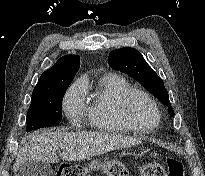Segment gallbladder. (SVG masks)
I'll list each match as a JSON object with an SVG mask.
<instances>
[{"mask_svg": "<svg viewBox=\"0 0 205 176\" xmlns=\"http://www.w3.org/2000/svg\"><path fill=\"white\" fill-rule=\"evenodd\" d=\"M53 169L47 162L29 161L22 164L16 176H52Z\"/></svg>", "mask_w": 205, "mask_h": 176, "instance_id": "gallbladder-1", "label": "gallbladder"}]
</instances>
